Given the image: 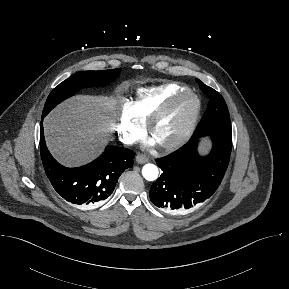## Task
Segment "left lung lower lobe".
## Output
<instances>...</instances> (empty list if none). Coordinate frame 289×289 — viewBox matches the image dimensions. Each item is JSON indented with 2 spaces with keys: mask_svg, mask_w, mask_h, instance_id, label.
<instances>
[{
  "mask_svg": "<svg viewBox=\"0 0 289 289\" xmlns=\"http://www.w3.org/2000/svg\"><path fill=\"white\" fill-rule=\"evenodd\" d=\"M210 136L213 148L201 157L197 147L199 138L192 137L174 153L156 159L163 170L150 188V200L168 213L183 214L192 211L210 198L220 185L228 167L232 135Z\"/></svg>",
  "mask_w": 289,
  "mask_h": 289,
  "instance_id": "left-lung-lower-lobe-1",
  "label": "left lung lower lobe"
}]
</instances>
